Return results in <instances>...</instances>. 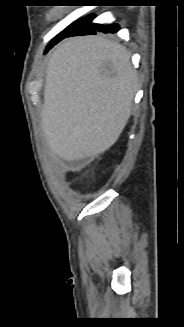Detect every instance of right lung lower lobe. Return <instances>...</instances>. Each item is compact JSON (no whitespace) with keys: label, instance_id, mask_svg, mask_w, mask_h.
Returning a JSON list of instances; mask_svg holds the SVG:
<instances>
[{"label":"right lung lower lobe","instance_id":"right-lung-lower-lobe-1","mask_svg":"<svg viewBox=\"0 0 184 327\" xmlns=\"http://www.w3.org/2000/svg\"><path fill=\"white\" fill-rule=\"evenodd\" d=\"M94 18H95L94 14L87 15L78 23V25L74 27V29H72L69 33L65 34L60 40L70 36L95 34L97 31L103 33L118 32L119 30L118 24H106V25L95 24L93 23Z\"/></svg>","mask_w":184,"mask_h":327}]
</instances>
